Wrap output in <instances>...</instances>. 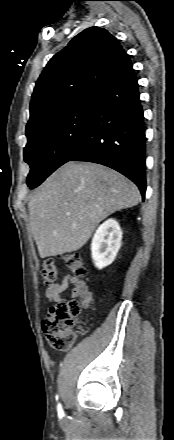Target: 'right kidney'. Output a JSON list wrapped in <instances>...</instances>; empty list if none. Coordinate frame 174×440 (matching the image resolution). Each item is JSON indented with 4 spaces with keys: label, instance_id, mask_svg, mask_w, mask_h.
I'll list each match as a JSON object with an SVG mask.
<instances>
[{
    "label": "right kidney",
    "instance_id": "right-kidney-1",
    "mask_svg": "<svg viewBox=\"0 0 174 440\" xmlns=\"http://www.w3.org/2000/svg\"><path fill=\"white\" fill-rule=\"evenodd\" d=\"M122 230L114 219H108L96 230L91 244L92 259L98 269L110 265L121 247Z\"/></svg>",
    "mask_w": 174,
    "mask_h": 440
}]
</instances>
